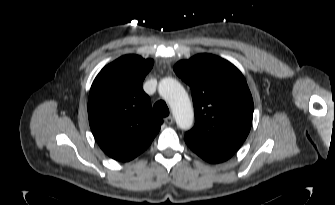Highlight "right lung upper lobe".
Segmentation results:
<instances>
[{
	"instance_id": "1",
	"label": "right lung upper lobe",
	"mask_w": 335,
	"mask_h": 205,
	"mask_svg": "<svg viewBox=\"0 0 335 205\" xmlns=\"http://www.w3.org/2000/svg\"><path fill=\"white\" fill-rule=\"evenodd\" d=\"M154 61L125 55L104 67L89 93L88 117L101 149L118 161H130L148 148L163 120L151 111L142 83Z\"/></svg>"
}]
</instances>
